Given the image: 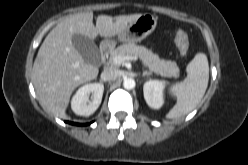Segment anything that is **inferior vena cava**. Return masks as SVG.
Masks as SVG:
<instances>
[{
    "mask_svg": "<svg viewBox=\"0 0 248 165\" xmlns=\"http://www.w3.org/2000/svg\"><path fill=\"white\" fill-rule=\"evenodd\" d=\"M119 76V71L116 69H106L101 73V79L103 81H110Z\"/></svg>",
    "mask_w": 248,
    "mask_h": 165,
    "instance_id": "602c4592",
    "label": "inferior vena cava"
}]
</instances>
